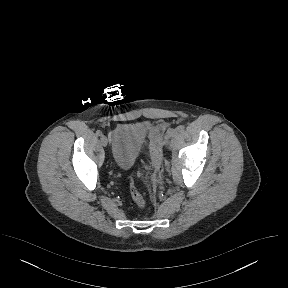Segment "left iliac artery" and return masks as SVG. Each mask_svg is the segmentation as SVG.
Instances as JSON below:
<instances>
[{
	"mask_svg": "<svg viewBox=\"0 0 288 288\" xmlns=\"http://www.w3.org/2000/svg\"><path fill=\"white\" fill-rule=\"evenodd\" d=\"M176 130H177L178 132H182V131L184 130V126H183V125H179V126L176 128Z\"/></svg>",
	"mask_w": 288,
	"mask_h": 288,
	"instance_id": "obj_1",
	"label": "left iliac artery"
}]
</instances>
